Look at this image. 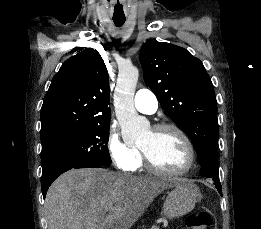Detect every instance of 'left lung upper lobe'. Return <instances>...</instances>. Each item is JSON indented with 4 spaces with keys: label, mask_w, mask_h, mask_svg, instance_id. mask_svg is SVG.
Returning a JSON list of instances; mask_svg holds the SVG:
<instances>
[{
    "label": "left lung upper lobe",
    "mask_w": 261,
    "mask_h": 229,
    "mask_svg": "<svg viewBox=\"0 0 261 229\" xmlns=\"http://www.w3.org/2000/svg\"><path fill=\"white\" fill-rule=\"evenodd\" d=\"M146 85L191 139L202 164L217 156V102L202 62L186 49L150 40L140 51Z\"/></svg>",
    "instance_id": "obj_1"
}]
</instances>
